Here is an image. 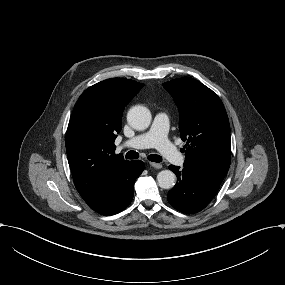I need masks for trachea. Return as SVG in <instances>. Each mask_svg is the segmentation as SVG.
I'll return each mask as SVG.
<instances>
[{"label": "trachea", "mask_w": 285, "mask_h": 285, "mask_svg": "<svg viewBox=\"0 0 285 285\" xmlns=\"http://www.w3.org/2000/svg\"><path fill=\"white\" fill-rule=\"evenodd\" d=\"M126 159H137L139 158V154L136 151L130 150L125 154ZM148 160L151 162L159 163L163 160L162 156L157 154H151L148 156Z\"/></svg>", "instance_id": "1"}]
</instances>
